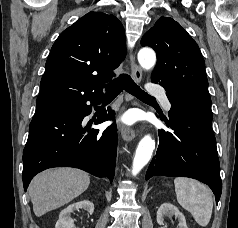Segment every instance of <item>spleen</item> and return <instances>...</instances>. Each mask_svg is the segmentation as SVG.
I'll use <instances>...</instances> for the list:
<instances>
[{
	"label": "spleen",
	"instance_id": "spleen-1",
	"mask_svg": "<svg viewBox=\"0 0 238 228\" xmlns=\"http://www.w3.org/2000/svg\"><path fill=\"white\" fill-rule=\"evenodd\" d=\"M174 184L178 203L192 214L200 226L206 227L213 209V197L209 188L187 177L175 178Z\"/></svg>",
	"mask_w": 238,
	"mask_h": 228
}]
</instances>
